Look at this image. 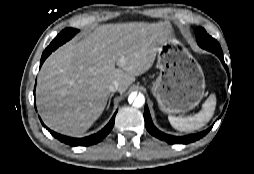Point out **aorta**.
I'll list each match as a JSON object with an SVG mask.
<instances>
[{"label":"aorta","mask_w":254,"mask_h":174,"mask_svg":"<svg viewBox=\"0 0 254 174\" xmlns=\"http://www.w3.org/2000/svg\"><path fill=\"white\" fill-rule=\"evenodd\" d=\"M129 103H132L134 107L140 108L145 103V97L143 94L139 93H131L128 98Z\"/></svg>","instance_id":"obj_1"}]
</instances>
